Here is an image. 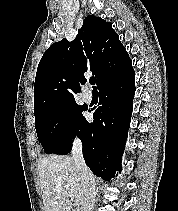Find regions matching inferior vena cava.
Returning <instances> with one entry per match:
<instances>
[{
	"instance_id": "obj_1",
	"label": "inferior vena cava",
	"mask_w": 178,
	"mask_h": 211,
	"mask_svg": "<svg viewBox=\"0 0 178 211\" xmlns=\"http://www.w3.org/2000/svg\"><path fill=\"white\" fill-rule=\"evenodd\" d=\"M72 157L77 169L80 172V177L84 185L85 197L82 203L81 211H93L96 197L95 179L85 164L82 154V143L79 139H75L73 143Z\"/></svg>"
}]
</instances>
